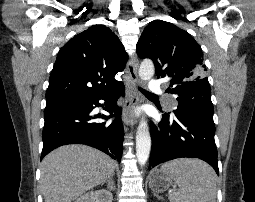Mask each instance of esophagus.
Wrapping results in <instances>:
<instances>
[{"instance_id":"34e87169","label":"esophagus","mask_w":255,"mask_h":202,"mask_svg":"<svg viewBox=\"0 0 255 202\" xmlns=\"http://www.w3.org/2000/svg\"><path fill=\"white\" fill-rule=\"evenodd\" d=\"M137 70L138 60L136 56H133L131 61H129L127 64L128 73L127 89L129 95L122 114V120L126 127L133 126L136 122L134 118V108L139 102V93L136 87L139 81Z\"/></svg>"}]
</instances>
